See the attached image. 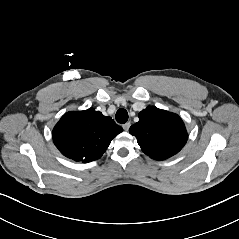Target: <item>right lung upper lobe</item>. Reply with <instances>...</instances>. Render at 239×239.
<instances>
[{"label":"right lung upper lobe","instance_id":"1","mask_svg":"<svg viewBox=\"0 0 239 239\" xmlns=\"http://www.w3.org/2000/svg\"><path fill=\"white\" fill-rule=\"evenodd\" d=\"M123 129L93 108L66 113L53 129V141L66 157L83 163L99 159Z\"/></svg>","mask_w":239,"mask_h":239}]
</instances>
